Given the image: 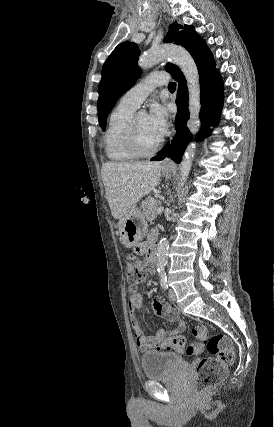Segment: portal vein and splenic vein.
<instances>
[{
    "instance_id": "obj_1",
    "label": "portal vein and splenic vein",
    "mask_w": 274,
    "mask_h": 427,
    "mask_svg": "<svg viewBox=\"0 0 274 427\" xmlns=\"http://www.w3.org/2000/svg\"><path fill=\"white\" fill-rule=\"evenodd\" d=\"M164 208H157L156 214H162Z\"/></svg>"
}]
</instances>
